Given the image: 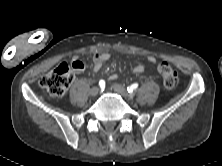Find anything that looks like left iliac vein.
<instances>
[{"mask_svg":"<svg viewBox=\"0 0 222 166\" xmlns=\"http://www.w3.org/2000/svg\"><path fill=\"white\" fill-rule=\"evenodd\" d=\"M113 89H114L115 92H117L118 94L122 95L125 98H131L132 97V94H129L128 91L126 90V88L123 87L120 84H114Z\"/></svg>","mask_w":222,"mask_h":166,"instance_id":"1","label":"left iliac vein"}]
</instances>
